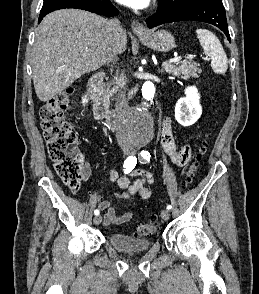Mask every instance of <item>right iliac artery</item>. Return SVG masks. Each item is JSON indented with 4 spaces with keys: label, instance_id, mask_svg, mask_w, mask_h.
<instances>
[{
    "label": "right iliac artery",
    "instance_id": "obj_1",
    "mask_svg": "<svg viewBox=\"0 0 259 294\" xmlns=\"http://www.w3.org/2000/svg\"><path fill=\"white\" fill-rule=\"evenodd\" d=\"M136 163H137V159L135 156H129L127 157V159L124 161V173H129L135 166H136ZM100 212L98 209H96L94 211V214L95 215H98Z\"/></svg>",
    "mask_w": 259,
    "mask_h": 294
}]
</instances>
